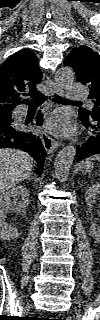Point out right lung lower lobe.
I'll use <instances>...</instances> for the list:
<instances>
[{"label": "right lung lower lobe", "instance_id": "obj_1", "mask_svg": "<svg viewBox=\"0 0 100 320\" xmlns=\"http://www.w3.org/2000/svg\"><path fill=\"white\" fill-rule=\"evenodd\" d=\"M42 115L37 116V124L42 123ZM12 119L0 126V148H16L28 152L38 163L37 175H41V168L46 152L39 136L27 129L11 126Z\"/></svg>", "mask_w": 100, "mask_h": 320}]
</instances>
